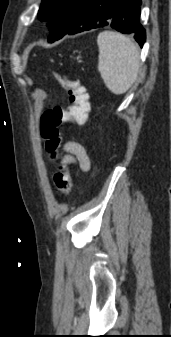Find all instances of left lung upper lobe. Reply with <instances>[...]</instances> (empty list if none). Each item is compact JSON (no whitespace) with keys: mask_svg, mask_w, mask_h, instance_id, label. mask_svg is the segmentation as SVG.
Returning a JSON list of instances; mask_svg holds the SVG:
<instances>
[{"mask_svg":"<svg viewBox=\"0 0 171 337\" xmlns=\"http://www.w3.org/2000/svg\"><path fill=\"white\" fill-rule=\"evenodd\" d=\"M85 0H42L38 18L49 21V42L65 35L76 23Z\"/></svg>","mask_w":171,"mask_h":337,"instance_id":"5c2ea615","label":"left lung upper lobe"}]
</instances>
